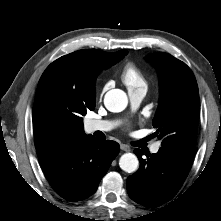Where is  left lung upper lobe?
<instances>
[{
	"instance_id": "1",
	"label": "left lung upper lobe",
	"mask_w": 221,
	"mask_h": 221,
	"mask_svg": "<svg viewBox=\"0 0 221 221\" xmlns=\"http://www.w3.org/2000/svg\"><path fill=\"white\" fill-rule=\"evenodd\" d=\"M146 59L157 69L160 98L153 126L163 147L193 155L199 119V92L191 69L173 56L157 52Z\"/></svg>"
}]
</instances>
